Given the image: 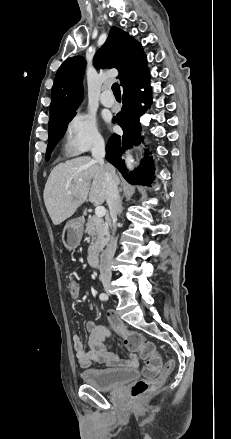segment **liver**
Wrapping results in <instances>:
<instances>
[{
	"instance_id": "1",
	"label": "liver",
	"mask_w": 231,
	"mask_h": 439,
	"mask_svg": "<svg viewBox=\"0 0 231 439\" xmlns=\"http://www.w3.org/2000/svg\"><path fill=\"white\" fill-rule=\"evenodd\" d=\"M43 198L54 225L71 217L87 198L101 205L106 200L104 168L88 156L59 163L47 179Z\"/></svg>"
}]
</instances>
